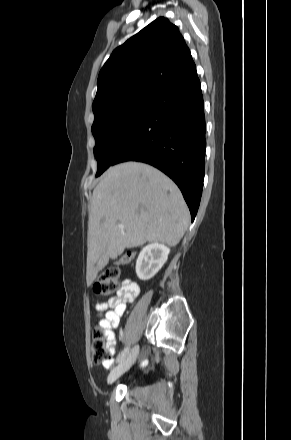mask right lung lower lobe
Listing matches in <instances>:
<instances>
[{"label":"right lung lower lobe","mask_w":291,"mask_h":440,"mask_svg":"<svg viewBox=\"0 0 291 440\" xmlns=\"http://www.w3.org/2000/svg\"><path fill=\"white\" fill-rule=\"evenodd\" d=\"M205 116L196 69L159 92L137 130L112 165L139 161L153 165L180 188L194 220L205 173Z\"/></svg>","instance_id":"right-lung-lower-lobe-1"}]
</instances>
